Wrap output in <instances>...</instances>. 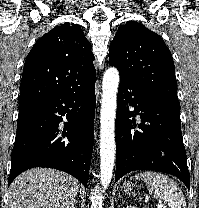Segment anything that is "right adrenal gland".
Returning a JSON list of instances; mask_svg holds the SVG:
<instances>
[{
	"label": "right adrenal gland",
	"instance_id": "1",
	"mask_svg": "<svg viewBox=\"0 0 199 208\" xmlns=\"http://www.w3.org/2000/svg\"><path fill=\"white\" fill-rule=\"evenodd\" d=\"M75 204H76V201H74V202L71 204V207H70V208H75Z\"/></svg>",
	"mask_w": 199,
	"mask_h": 208
}]
</instances>
